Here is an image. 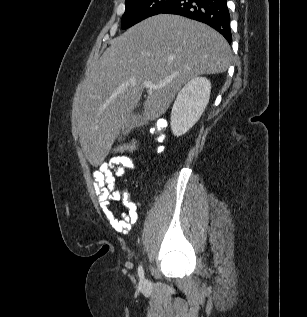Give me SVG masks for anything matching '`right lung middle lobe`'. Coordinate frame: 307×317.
<instances>
[{
    "mask_svg": "<svg viewBox=\"0 0 307 317\" xmlns=\"http://www.w3.org/2000/svg\"><path fill=\"white\" fill-rule=\"evenodd\" d=\"M174 0H126L121 28L127 29L153 15L160 14Z\"/></svg>",
    "mask_w": 307,
    "mask_h": 317,
    "instance_id": "dd1d6c3e",
    "label": "right lung middle lobe"
}]
</instances>
